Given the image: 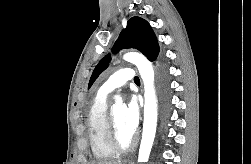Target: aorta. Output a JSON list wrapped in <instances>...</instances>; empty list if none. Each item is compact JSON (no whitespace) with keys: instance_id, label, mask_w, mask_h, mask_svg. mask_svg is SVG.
I'll return each instance as SVG.
<instances>
[{"instance_id":"aorta-1","label":"aorta","mask_w":251,"mask_h":164,"mask_svg":"<svg viewBox=\"0 0 251 164\" xmlns=\"http://www.w3.org/2000/svg\"><path fill=\"white\" fill-rule=\"evenodd\" d=\"M123 59L137 66L144 84V121L138 162H147L157 127V98L154 87V69L151 62L140 53H126ZM116 100L120 101L121 98L116 96Z\"/></svg>"}]
</instances>
